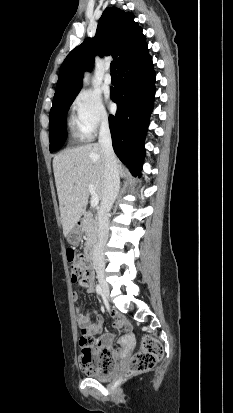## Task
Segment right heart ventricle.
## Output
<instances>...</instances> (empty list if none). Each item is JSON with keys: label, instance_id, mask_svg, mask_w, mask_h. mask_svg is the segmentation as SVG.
<instances>
[{"label": "right heart ventricle", "instance_id": "obj_1", "mask_svg": "<svg viewBox=\"0 0 233 413\" xmlns=\"http://www.w3.org/2000/svg\"><path fill=\"white\" fill-rule=\"evenodd\" d=\"M68 127H69L71 138L74 141H83L87 138V135L84 133L83 129L81 128L76 116L74 115L70 116L68 120Z\"/></svg>", "mask_w": 233, "mask_h": 413}]
</instances>
